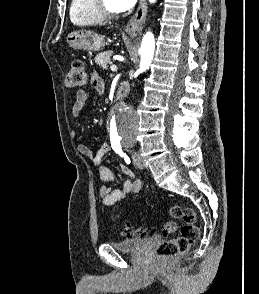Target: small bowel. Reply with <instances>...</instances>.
Here are the masks:
<instances>
[{
  "mask_svg": "<svg viewBox=\"0 0 259 294\" xmlns=\"http://www.w3.org/2000/svg\"><path fill=\"white\" fill-rule=\"evenodd\" d=\"M91 82L93 88L97 93L102 94L104 92L105 86L103 80L96 73L92 75ZM88 99V92L84 90H79L76 93V97L71 110L73 117L76 118L81 114ZM72 134H75V129L72 130ZM77 149L80 154L90 159L92 163L98 168V174L102 181L119 182L121 184V188L116 189H111L106 186L100 188V196L103 205L112 206L118 201L127 197L128 195H132L135 198L140 195L143 187V183L141 180L119 179L110 168L102 164L103 158L111 151L110 145L104 144L99 148V150L94 152L88 145L81 143L77 146ZM121 170L127 177H133L132 171L127 166L121 165Z\"/></svg>",
  "mask_w": 259,
  "mask_h": 294,
  "instance_id": "small-bowel-1",
  "label": "small bowel"
}]
</instances>
